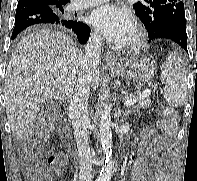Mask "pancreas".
<instances>
[{"mask_svg":"<svg viewBox=\"0 0 197 181\" xmlns=\"http://www.w3.org/2000/svg\"><path fill=\"white\" fill-rule=\"evenodd\" d=\"M124 98L126 99V100H129V99H131V100H136V103H137V105H136V107L137 108H147V107H149L150 106V104H151V100L150 99H143V100H140L135 94H133V93H126L125 94V96H124Z\"/></svg>","mask_w":197,"mask_h":181,"instance_id":"obj_1","label":"pancreas"}]
</instances>
